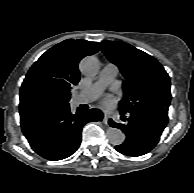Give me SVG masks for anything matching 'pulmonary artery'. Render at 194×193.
Listing matches in <instances>:
<instances>
[{
  "label": "pulmonary artery",
  "instance_id": "obj_1",
  "mask_svg": "<svg viewBox=\"0 0 194 193\" xmlns=\"http://www.w3.org/2000/svg\"><path fill=\"white\" fill-rule=\"evenodd\" d=\"M118 73L115 64L108 63L103 66L99 78L91 86L79 92L75 97L76 104H86L97 99L103 90L114 80Z\"/></svg>",
  "mask_w": 194,
  "mask_h": 193
}]
</instances>
